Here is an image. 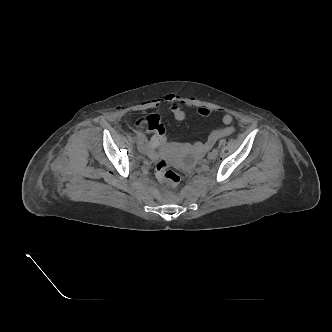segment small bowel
I'll return each instance as SVG.
<instances>
[{"label":"small bowel","mask_w":332,"mask_h":332,"mask_svg":"<svg viewBox=\"0 0 332 332\" xmlns=\"http://www.w3.org/2000/svg\"><path fill=\"white\" fill-rule=\"evenodd\" d=\"M163 101L170 104L171 112L176 120L183 121L186 118V112L183 109V101L180 97L174 94H168L165 96ZM198 113L201 117L206 118L210 115V110L208 108L201 107L198 109ZM232 121V115L225 113L222 117V122L225 127L211 131L204 143H195L194 148L196 152L199 154L203 153L210 149L220 138L231 135L235 130V128L231 125ZM160 146L162 145H160L153 136L148 145L145 147L144 152L150 156H154L156 149Z\"/></svg>","instance_id":"1"}]
</instances>
